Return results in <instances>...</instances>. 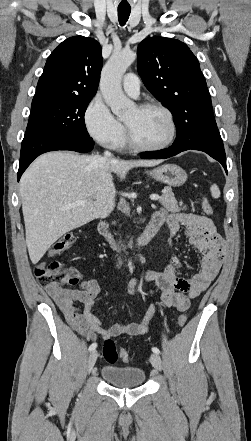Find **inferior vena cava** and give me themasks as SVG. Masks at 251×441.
Listing matches in <instances>:
<instances>
[{
    "instance_id": "1",
    "label": "inferior vena cava",
    "mask_w": 251,
    "mask_h": 441,
    "mask_svg": "<svg viewBox=\"0 0 251 441\" xmlns=\"http://www.w3.org/2000/svg\"><path fill=\"white\" fill-rule=\"evenodd\" d=\"M104 155H105V158H109V157L112 156V154L110 152H108V151H105Z\"/></svg>"
}]
</instances>
